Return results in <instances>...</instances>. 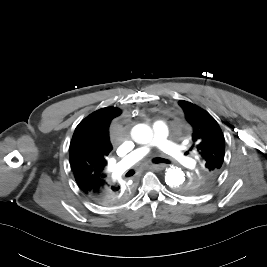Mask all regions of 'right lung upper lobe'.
Returning <instances> with one entry per match:
<instances>
[{"label": "right lung upper lobe", "mask_w": 267, "mask_h": 267, "mask_svg": "<svg viewBox=\"0 0 267 267\" xmlns=\"http://www.w3.org/2000/svg\"><path fill=\"white\" fill-rule=\"evenodd\" d=\"M121 114L114 107L99 109L76 127L69 149L75 180L84 194L95 193L110 184L105 167L112 151L108 137L110 121Z\"/></svg>", "instance_id": "obj_1"}]
</instances>
